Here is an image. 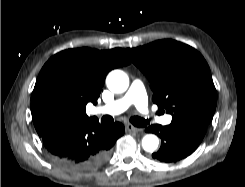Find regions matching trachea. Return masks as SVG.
Returning <instances> with one entry per match:
<instances>
[{
	"label": "trachea",
	"instance_id": "trachea-1",
	"mask_svg": "<svg viewBox=\"0 0 245 187\" xmlns=\"http://www.w3.org/2000/svg\"><path fill=\"white\" fill-rule=\"evenodd\" d=\"M105 120L108 124L112 123L114 119L111 116H106ZM130 122L136 127H144L149 124V120H145L141 117L134 116L130 118Z\"/></svg>",
	"mask_w": 245,
	"mask_h": 187
}]
</instances>
